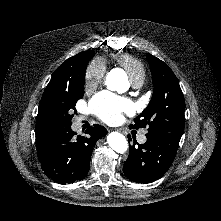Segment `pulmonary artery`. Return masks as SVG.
<instances>
[{
  "label": "pulmonary artery",
  "instance_id": "1",
  "mask_svg": "<svg viewBox=\"0 0 221 221\" xmlns=\"http://www.w3.org/2000/svg\"><path fill=\"white\" fill-rule=\"evenodd\" d=\"M142 83H143V82H137V83H134L133 86H134L135 88H138V87H140V86L142 85ZM146 140H147L146 132H143V133L138 137V141H139L140 143H145Z\"/></svg>",
  "mask_w": 221,
  "mask_h": 221
}]
</instances>
